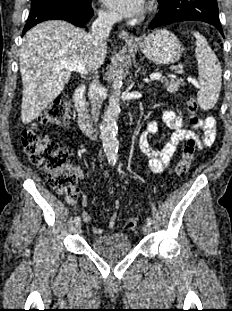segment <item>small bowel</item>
Listing matches in <instances>:
<instances>
[{
	"label": "small bowel",
	"mask_w": 232,
	"mask_h": 311,
	"mask_svg": "<svg viewBox=\"0 0 232 311\" xmlns=\"http://www.w3.org/2000/svg\"><path fill=\"white\" fill-rule=\"evenodd\" d=\"M162 122L166 127L172 130V134L167 143L160 149H154L150 146L148 137L150 135H157L160 133L161 128L155 122H150L146 126V129L141 133L139 138V145L143 151H145L149 157V168L151 172L159 174L165 171L172 156L177 150L178 145L190 138L196 140L199 147H209L213 145L216 138V121L211 118L198 119L197 122H189L181 116L176 115L171 110H165L162 113ZM200 128L203 130L202 138H199L194 130ZM79 177L82 178V173L78 171ZM67 203L76 208L73 198L68 197ZM119 204L115 203L117 209ZM86 204L82 203L81 215L83 221L89 223L91 221L90 214L86 211ZM116 222V212H114L109 220V227H112ZM94 234H102L103 229L100 227L93 228Z\"/></svg>",
	"instance_id": "small-bowel-1"
}]
</instances>
